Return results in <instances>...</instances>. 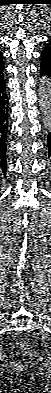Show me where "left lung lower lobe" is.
I'll return each instance as SVG.
<instances>
[{
    "instance_id": "0a47b994",
    "label": "left lung lower lobe",
    "mask_w": 51,
    "mask_h": 393,
    "mask_svg": "<svg viewBox=\"0 0 51 393\" xmlns=\"http://www.w3.org/2000/svg\"><path fill=\"white\" fill-rule=\"evenodd\" d=\"M41 57H42L41 64H40L41 76L47 77L51 80V54H48L43 51ZM47 144H48L49 155H51V132L47 136Z\"/></svg>"
}]
</instances>
